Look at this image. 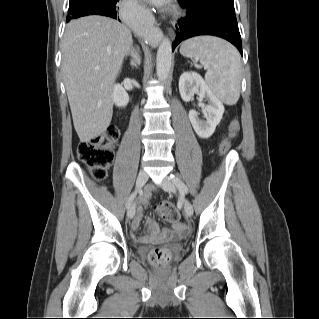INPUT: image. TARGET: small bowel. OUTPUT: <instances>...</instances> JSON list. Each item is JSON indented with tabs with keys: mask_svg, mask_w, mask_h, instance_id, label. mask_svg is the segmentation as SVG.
<instances>
[{
	"mask_svg": "<svg viewBox=\"0 0 319 319\" xmlns=\"http://www.w3.org/2000/svg\"><path fill=\"white\" fill-rule=\"evenodd\" d=\"M140 202L143 204H147L148 196L141 198ZM142 217H143V209H142V207H138L137 211H136V215H135L133 222L131 224L132 230L135 231L138 229ZM174 229H175L174 232L164 231L163 233H160L158 226L152 220H148L146 222V233L144 236L139 237L138 240L139 241H146V240H150V239H155L160 234H162L164 236H172V235H174V233H185L187 230V225L185 222L178 219L177 221H174Z\"/></svg>",
	"mask_w": 319,
	"mask_h": 319,
	"instance_id": "obj_1",
	"label": "small bowel"
}]
</instances>
